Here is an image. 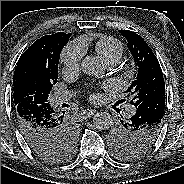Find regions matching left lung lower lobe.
Returning <instances> with one entry per match:
<instances>
[{
  "label": "left lung lower lobe",
  "instance_id": "obj_1",
  "mask_svg": "<svg viewBox=\"0 0 184 184\" xmlns=\"http://www.w3.org/2000/svg\"><path fill=\"white\" fill-rule=\"evenodd\" d=\"M165 96L156 95L144 101L136 109L135 115L129 120L134 126L153 125L161 122L164 116ZM160 132L154 137L156 141Z\"/></svg>",
  "mask_w": 184,
  "mask_h": 184
}]
</instances>
